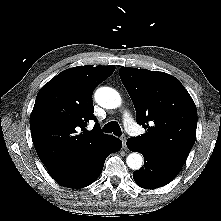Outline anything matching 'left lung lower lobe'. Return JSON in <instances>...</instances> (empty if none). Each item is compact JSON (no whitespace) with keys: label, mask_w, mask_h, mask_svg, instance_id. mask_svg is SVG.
Here are the masks:
<instances>
[{"label":"left lung lower lobe","mask_w":221,"mask_h":221,"mask_svg":"<svg viewBox=\"0 0 221 221\" xmlns=\"http://www.w3.org/2000/svg\"><path fill=\"white\" fill-rule=\"evenodd\" d=\"M127 147L141 153L145 158L144 166L133 173L135 182L142 188L155 189L164 186L181 171V167L162 159L132 138L127 140Z\"/></svg>","instance_id":"1"}]
</instances>
